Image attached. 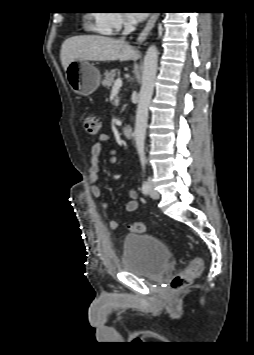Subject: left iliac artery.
<instances>
[{"mask_svg": "<svg viewBox=\"0 0 254 355\" xmlns=\"http://www.w3.org/2000/svg\"><path fill=\"white\" fill-rule=\"evenodd\" d=\"M141 164H142V168H143V171L145 170V164H146V159L145 157H141ZM148 191H149V185H148V182L147 181H144L143 182V185H142V193L143 194H148Z\"/></svg>", "mask_w": 254, "mask_h": 355, "instance_id": "left-iliac-artery-1", "label": "left iliac artery"}]
</instances>
